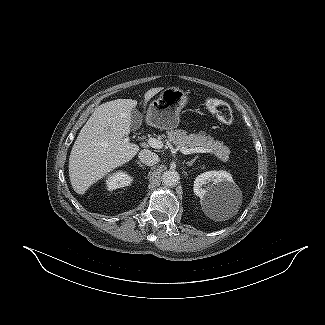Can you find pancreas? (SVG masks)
Listing matches in <instances>:
<instances>
[{"instance_id":"cf45deb5","label":"pancreas","mask_w":325,"mask_h":325,"mask_svg":"<svg viewBox=\"0 0 325 325\" xmlns=\"http://www.w3.org/2000/svg\"><path fill=\"white\" fill-rule=\"evenodd\" d=\"M167 138L170 142L178 147L209 148L223 162H227L230 155V150L223 142L215 141L211 136H206L204 131L197 134H187L185 130L176 129L167 131Z\"/></svg>"}]
</instances>
